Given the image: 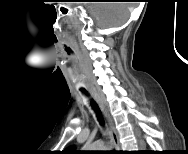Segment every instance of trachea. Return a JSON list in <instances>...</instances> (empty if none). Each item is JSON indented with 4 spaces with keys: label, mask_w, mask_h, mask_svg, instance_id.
Listing matches in <instances>:
<instances>
[{
    "label": "trachea",
    "mask_w": 188,
    "mask_h": 154,
    "mask_svg": "<svg viewBox=\"0 0 188 154\" xmlns=\"http://www.w3.org/2000/svg\"><path fill=\"white\" fill-rule=\"evenodd\" d=\"M92 107H93V109L96 111L97 116H98V119H99V120L101 121V123H102V118H101V114H100V111H99L98 106H97L94 102H92Z\"/></svg>",
    "instance_id": "trachea-1"
}]
</instances>
